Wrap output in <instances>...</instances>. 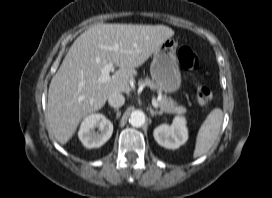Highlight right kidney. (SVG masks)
Returning a JSON list of instances; mask_svg holds the SVG:
<instances>
[{
    "mask_svg": "<svg viewBox=\"0 0 272 198\" xmlns=\"http://www.w3.org/2000/svg\"><path fill=\"white\" fill-rule=\"evenodd\" d=\"M99 129V132L95 131ZM113 133V124L102 114H91L81 123L78 137L86 148H98L105 144Z\"/></svg>",
    "mask_w": 272,
    "mask_h": 198,
    "instance_id": "ca27d5eb",
    "label": "right kidney"
}]
</instances>
